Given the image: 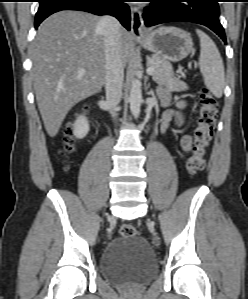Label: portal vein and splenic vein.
<instances>
[{
	"instance_id": "18ae733b",
	"label": "portal vein and splenic vein",
	"mask_w": 248,
	"mask_h": 299,
	"mask_svg": "<svg viewBox=\"0 0 248 299\" xmlns=\"http://www.w3.org/2000/svg\"><path fill=\"white\" fill-rule=\"evenodd\" d=\"M79 73H80V74H83V73H84V70L81 69V70L79 71ZM153 73H154V68L151 67V66H149V67L147 68V74H148V75H152Z\"/></svg>"
}]
</instances>
